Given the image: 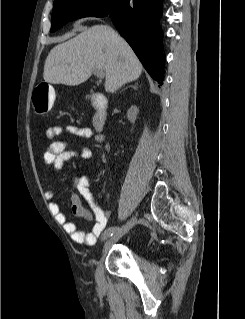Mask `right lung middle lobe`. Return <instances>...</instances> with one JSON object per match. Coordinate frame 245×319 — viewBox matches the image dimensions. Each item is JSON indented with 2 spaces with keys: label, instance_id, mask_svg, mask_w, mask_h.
<instances>
[{
  "label": "right lung middle lobe",
  "instance_id": "obj_1",
  "mask_svg": "<svg viewBox=\"0 0 245 319\" xmlns=\"http://www.w3.org/2000/svg\"><path fill=\"white\" fill-rule=\"evenodd\" d=\"M120 0H54L51 32L67 22L87 17H104L119 5Z\"/></svg>",
  "mask_w": 245,
  "mask_h": 319
}]
</instances>
